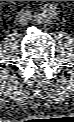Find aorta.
Listing matches in <instances>:
<instances>
[{"label": "aorta", "instance_id": "1", "mask_svg": "<svg viewBox=\"0 0 74 122\" xmlns=\"http://www.w3.org/2000/svg\"><path fill=\"white\" fill-rule=\"evenodd\" d=\"M47 17H51L50 15H46Z\"/></svg>", "mask_w": 74, "mask_h": 122}]
</instances>
